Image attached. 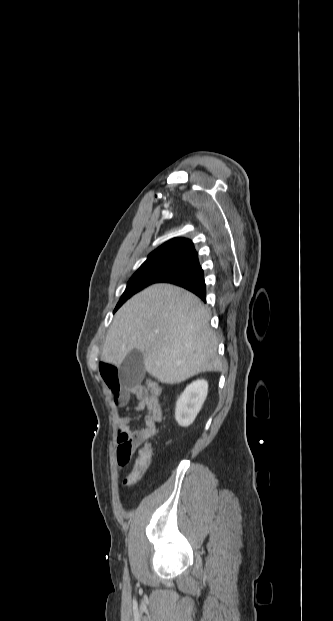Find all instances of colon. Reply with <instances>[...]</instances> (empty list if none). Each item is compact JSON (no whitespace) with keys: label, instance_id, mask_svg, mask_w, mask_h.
I'll return each instance as SVG.
<instances>
[{"label":"colon","instance_id":"colon-1","mask_svg":"<svg viewBox=\"0 0 333 621\" xmlns=\"http://www.w3.org/2000/svg\"><path fill=\"white\" fill-rule=\"evenodd\" d=\"M148 385L155 396L159 397L161 395L162 387L157 381L150 379L148 380ZM151 459L152 447L146 443L138 450L134 466L125 479L127 486H133L141 480L151 464Z\"/></svg>","mask_w":333,"mask_h":621}]
</instances>
